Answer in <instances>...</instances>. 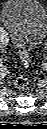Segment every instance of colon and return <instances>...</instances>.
Wrapping results in <instances>:
<instances>
[{
    "mask_svg": "<svg viewBox=\"0 0 47 129\" xmlns=\"http://www.w3.org/2000/svg\"><path fill=\"white\" fill-rule=\"evenodd\" d=\"M20 56L23 66L25 70H27L28 67L30 66V56L27 52L23 50L20 51ZM28 84H29V78L26 71H24L15 79V86L19 90L25 89L28 86Z\"/></svg>",
    "mask_w": 47,
    "mask_h": 129,
    "instance_id": "1",
    "label": "colon"
}]
</instances>
